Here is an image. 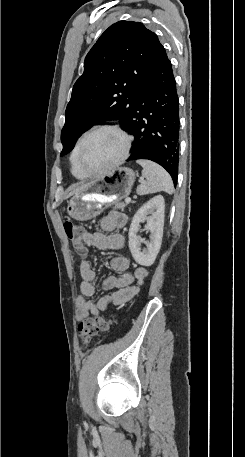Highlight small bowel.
<instances>
[{"label":"small bowel","instance_id":"1","mask_svg":"<svg viewBox=\"0 0 245 457\" xmlns=\"http://www.w3.org/2000/svg\"><path fill=\"white\" fill-rule=\"evenodd\" d=\"M126 223L127 216L124 213L111 211L100 222L102 231H83V241L99 250L120 249L125 244V238L115 231L123 228ZM110 265L114 271L122 274L107 277L103 282V289L111 292L94 302L90 298L95 294V272L88 261L80 263L81 295L76 300L78 320H83L89 315H98L111 306L127 302L139 291L148 274L144 267L137 266L130 270V259L126 256L111 257Z\"/></svg>","mask_w":245,"mask_h":457}]
</instances>
